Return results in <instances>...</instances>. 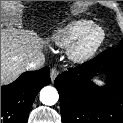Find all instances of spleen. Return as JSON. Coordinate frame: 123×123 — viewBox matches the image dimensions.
I'll use <instances>...</instances> for the list:
<instances>
[{
  "label": "spleen",
  "mask_w": 123,
  "mask_h": 123,
  "mask_svg": "<svg viewBox=\"0 0 123 123\" xmlns=\"http://www.w3.org/2000/svg\"><path fill=\"white\" fill-rule=\"evenodd\" d=\"M93 82H95L96 84H98L99 86H102L104 84V81L100 80V79H93Z\"/></svg>",
  "instance_id": "1"
}]
</instances>
